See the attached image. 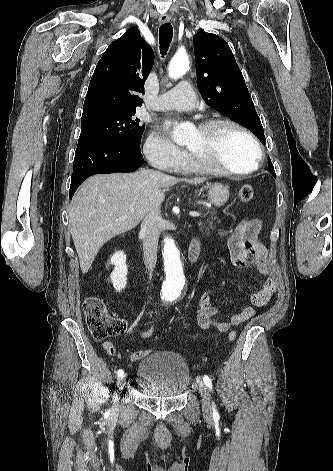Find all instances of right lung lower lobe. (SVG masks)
Returning a JSON list of instances; mask_svg holds the SVG:
<instances>
[{"label": "right lung lower lobe", "instance_id": "right-lung-lower-lobe-1", "mask_svg": "<svg viewBox=\"0 0 333 471\" xmlns=\"http://www.w3.org/2000/svg\"><path fill=\"white\" fill-rule=\"evenodd\" d=\"M143 164L141 151L129 146L107 140L78 142L69 197L94 174L134 172Z\"/></svg>", "mask_w": 333, "mask_h": 471}]
</instances>
